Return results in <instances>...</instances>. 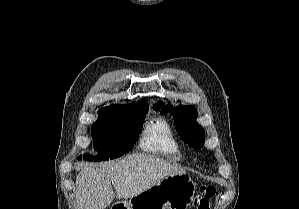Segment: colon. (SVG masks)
I'll return each instance as SVG.
<instances>
[{
  "instance_id": "1",
  "label": "colon",
  "mask_w": 299,
  "mask_h": 209,
  "mask_svg": "<svg viewBox=\"0 0 299 209\" xmlns=\"http://www.w3.org/2000/svg\"><path fill=\"white\" fill-rule=\"evenodd\" d=\"M216 188L213 185H203L194 201V209H209L210 200L215 196Z\"/></svg>"
}]
</instances>
